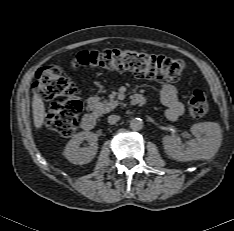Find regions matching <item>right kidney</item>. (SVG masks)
Listing matches in <instances>:
<instances>
[{
  "mask_svg": "<svg viewBox=\"0 0 234 231\" xmlns=\"http://www.w3.org/2000/svg\"><path fill=\"white\" fill-rule=\"evenodd\" d=\"M88 141L89 146L81 148L80 145ZM98 150L97 136L92 132H79L74 135L64 149L65 158L73 164H87L96 155Z\"/></svg>",
  "mask_w": 234,
  "mask_h": 231,
  "instance_id": "obj_1",
  "label": "right kidney"
}]
</instances>
